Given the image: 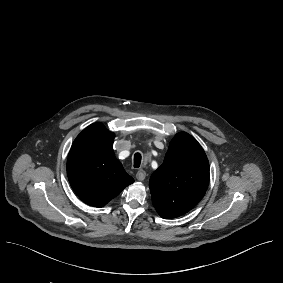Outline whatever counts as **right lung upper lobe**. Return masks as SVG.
Returning a JSON list of instances; mask_svg holds the SVG:
<instances>
[{"label": "right lung upper lobe", "mask_w": 283, "mask_h": 283, "mask_svg": "<svg viewBox=\"0 0 283 283\" xmlns=\"http://www.w3.org/2000/svg\"><path fill=\"white\" fill-rule=\"evenodd\" d=\"M114 137L101 123H94L72 144L67 160L68 179L88 205L102 207L134 182L115 157Z\"/></svg>", "instance_id": "cb5924a9"}]
</instances>
